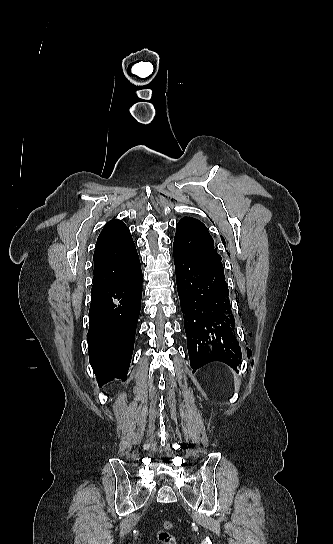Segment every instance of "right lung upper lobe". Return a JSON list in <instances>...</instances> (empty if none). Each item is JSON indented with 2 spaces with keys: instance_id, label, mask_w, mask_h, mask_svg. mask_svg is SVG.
<instances>
[{
  "instance_id": "cb5924a9",
  "label": "right lung upper lobe",
  "mask_w": 333,
  "mask_h": 544,
  "mask_svg": "<svg viewBox=\"0 0 333 544\" xmlns=\"http://www.w3.org/2000/svg\"><path fill=\"white\" fill-rule=\"evenodd\" d=\"M93 260L91 293L116 282L139 262L130 231L121 220H111L104 226L97 239Z\"/></svg>"
}]
</instances>
